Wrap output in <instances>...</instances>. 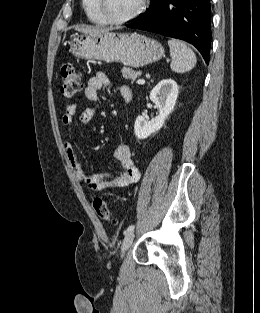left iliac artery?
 Masks as SVG:
<instances>
[{
	"label": "left iliac artery",
	"mask_w": 260,
	"mask_h": 313,
	"mask_svg": "<svg viewBox=\"0 0 260 313\" xmlns=\"http://www.w3.org/2000/svg\"><path fill=\"white\" fill-rule=\"evenodd\" d=\"M134 228H135V225H130V226L127 228V230L124 231V234L128 233L129 231L134 230Z\"/></svg>",
	"instance_id": "left-iliac-artery-1"
}]
</instances>
